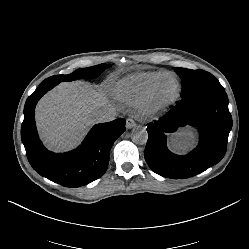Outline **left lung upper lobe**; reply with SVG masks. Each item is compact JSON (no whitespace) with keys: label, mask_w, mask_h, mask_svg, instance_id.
<instances>
[{"label":"left lung upper lobe","mask_w":249,"mask_h":249,"mask_svg":"<svg viewBox=\"0 0 249 249\" xmlns=\"http://www.w3.org/2000/svg\"><path fill=\"white\" fill-rule=\"evenodd\" d=\"M175 71L182 79V98L207 89L222 88L219 81L211 73L204 70H190L176 67Z\"/></svg>","instance_id":"5c2ea615"}]
</instances>
